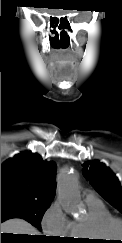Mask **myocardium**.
Returning a JSON list of instances; mask_svg holds the SVG:
<instances>
[{"instance_id": "f54148a6", "label": "myocardium", "mask_w": 122, "mask_h": 243, "mask_svg": "<svg viewBox=\"0 0 122 243\" xmlns=\"http://www.w3.org/2000/svg\"><path fill=\"white\" fill-rule=\"evenodd\" d=\"M113 226H119L120 228H122V220L116 217H109L101 220L96 225L98 236L100 238L110 237L109 231Z\"/></svg>"}]
</instances>
